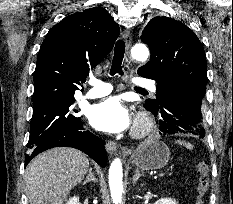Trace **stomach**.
I'll return each mask as SVG.
<instances>
[{
	"label": "stomach",
	"mask_w": 233,
	"mask_h": 204,
	"mask_svg": "<svg viewBox=\"0 0 233 204\" xmlns=\"http://www.w3.org/2000/svg\"><path fill=\"white\" fill-rule=\"evenodd\" d=\"M170 151L167 145L159 140L142 143L133 155V163L141 170H158L169 161Z\"/></svg>",
	"instance_id": "stomach-1"
}]
</instances>
